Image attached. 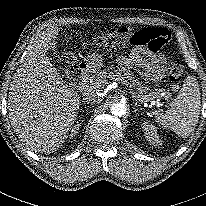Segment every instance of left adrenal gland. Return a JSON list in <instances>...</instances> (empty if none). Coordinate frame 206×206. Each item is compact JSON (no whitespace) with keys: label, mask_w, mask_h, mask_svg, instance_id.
Returning a JSON list of instances; mask_svg holds the SVG:
<instances>
[{"label":"left adrenal gland","mask_w":206,"mask_h":206,"mask_svg":"<svg viewBox=\"0 0 206 206\" xmlns=\"http://www.w3.org/2000/svg\"><path fill=\"white\" fill-rule=\"evenodd\" d=\"M134 101H135L134 109H135V112H137L139 105H138L137 99L134 98Z\"/></svg>","instance_id":"left-adrenal-gland-1"}]
</instances>
